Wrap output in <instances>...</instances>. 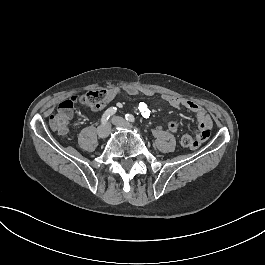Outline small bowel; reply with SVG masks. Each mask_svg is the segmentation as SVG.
I'll list each match as a JSON object with an SVG mask.
<instances>
[{
    "instance_id": "1",
    "label": "small bowel",
    "mask_w": 265,
    "mask_h": 265,
    "mask_svg": "<svg viewBox=\"0 0 265 265\" xmlns=\"http://www.w3.org/2000/svg\"><path fill=\"white\" fill-rule=\"evenodd\" d=\"M155 94V91L152 89L133 85L122 87L112 86L107 91L108 101H112L114 98L121 95L154 96ZM162 100L175 109L187 110L195 114L197 130L195 133L196 141L193 142L192 147L195 150L200 149L202 146L201 142L208 139L211 133L212 122L208 112L200 104L187 98L164 94L162 95ZM167 128L171 133H177L179 126L177 122L171 120L168 122Z\"/></svg>"
}]
</instances>
